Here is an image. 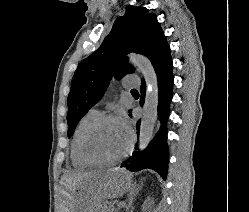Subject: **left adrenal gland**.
I'll use <instances>...</instances> for the list:
<instances>
[{"label": "left adrenal gland", "mask_w": 249, "mask_h": 212, "mask_svg": "<svg viewBox=\"0 0 249 212\" xmlns=\"http://www.w3.org/2000/svg\"><path fill=\"white\" fill-rule=\"evenodd\" d=\"M141 190V186H138V188H136L135 192H130L129 196H128V206H126V212H129L130 208H133V200L136 196V194H139Z\"/></svg>", "instance_id": "a2214340"}]
</instances>
